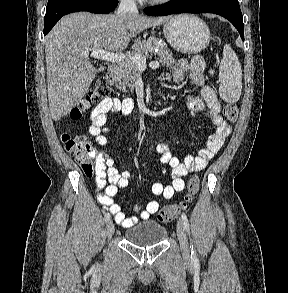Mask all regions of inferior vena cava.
Here are the masks:
<instances>
[{"instance_id": "inferior-vena-cava-1", "label": "inferior vena cava", "mask_w": 288, "mask_h": 293, "mask_svg": "<svg viewBox=\"0 0 288 293\" xmlns=\"http://www.w3.org/2000/svg\"><path fill=\"white\" fill-rule=\"evenodd\" d=\"M138 13L137 5L135 3V0H121L117 15L125 14V13Z\"/></svg>"}]
</instances>
